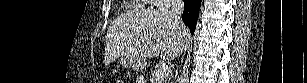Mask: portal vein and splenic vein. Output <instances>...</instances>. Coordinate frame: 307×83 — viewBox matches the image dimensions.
I'll use <instances>...</instances> for the list:
<instances>
[{
	"label": "portal vein and splenic vein",
	"mask_w": 307,
	"mask_h": 83,
	"mask_svg": "<svg viewBox=\"0 0 307 83\" xmlns=\"http://www.w3.org/2000/svg\"><path fill=\"white\" fill-rule=\"evenodd\" d=\"M170 74V68L168 65H162L160 69L157 72L156 79L154 80V83H158L164 78H166Z\"/></svg>",
	"instance_id": "obj_1"
}]
</instances>
